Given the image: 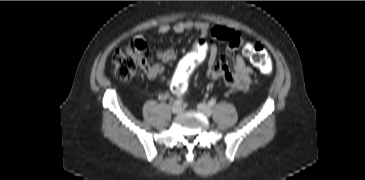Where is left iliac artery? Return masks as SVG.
Wrapping results in <instances>:
<instances>
[{
  "label": "left iliac artery",
  "mask_w": 365,
  "mask_h": 180,
  "mask_svg": "<svg viewBox=\"0 0 365 180\" xmlns=\"http://www.w3.org/2000/svg\"><path fill=\"white\" fill-rule=\"evenodd\" d=\"M208 104H209V106H214L216 104V100L211 99Z\"/></svg>",
  "instance_id": "obj_1"
}]
</instances>
